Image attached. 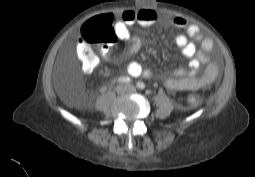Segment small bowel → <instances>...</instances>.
Returning <instances> with one entry per match:
<instances>
[{
    "label": "small bowel",
    "instance_id": "1",
    "mask_svg": "<svg viewBox=\"0 0 255 177\" xmlns=\"http://www.w3.org/2000/svg\"><path fill=\"white\" fill-rule=\"evenodd\" d=\"M106 16L111 22L113 18L110 15ZM159 20V13L151 8L124 11L112 27L116 37L129 44L123 51L122 57L135 55L141 49V40L131 33L130 27L134 25L151 26ZM170 26L174 30L185 31V33H180L175 37V44L181 49L183 56L189 59V62L186 69L173 70L169 76L165 77L164 85L166 89L171 92L192 91L212 82L218 72V65L209 63L210 53L214 48L213 41L210 38H203L199 26L188 23L184 18L173 17L170 20ZM193 40L200 41L199 48ZM80 47L81 44L78 48ZM102 52L105 59L109 60V54L103 50ZM204 64H208L206 72L198 76L197 72ZM94 67L86 68L82 65L86 73L91 72ZM127 72L133 77H151L153 75L152 71L144 69L138 62H130L127 66Z\"/></svg>",
    "mask_w": 255,
    "mask_h": 177
}]
</instances>
